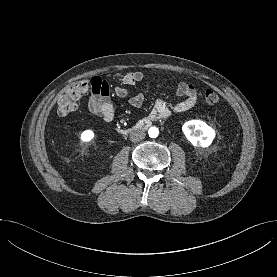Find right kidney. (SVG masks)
Here are the masks:
<instances>
[{"label": "right kidney", "instance_id": "1", "mask_svg": "<svg viewBox=\"0 0 277 277\" xmlns=\"http://www.w3.org/2000/svg\"><path fill=\"white\" fill-rule=\"evenodd\" d=\"M94 138V132L92 130H85L81 133L80 139L82 142H89Z\"/></svg>", "mask_w": 277, "mask_h": 277}]
</instances>
